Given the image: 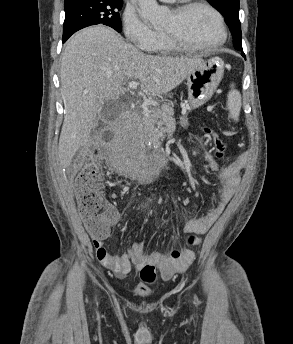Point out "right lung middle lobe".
I'll use <instances>...</instances> for the list:
<instances>
[{
	"label": "right lung middle lobe",
	"instance_id": "obj_1",
	"mask_svg": "<svg viewBox=\"0 0 293 344\" xmlns=\"http://www.w3.org/2000/svg\"><path fill=\"white\" fill-rule=\"evenodd\" d=\"M123 0H78L64 4L63 42L76 31L91 25L103 24L121 32L119 11Z\"/></svg>",
	"mask_w": 293,
	"mask_h": 344
}]
</instances>
